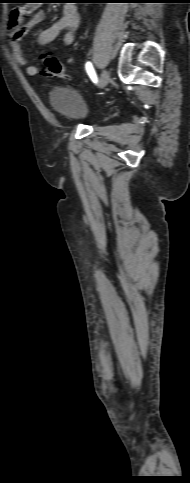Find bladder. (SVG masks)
I'll use <instances>...</instances> for the list:
<instances>
[{
    "label": "bladder",
    "mask_w": 190,
    "mask_h": 483,
    "mask_svg": "<svg viewBox=\"0 0 190 483\" xmlns=\"http://www.w3.org/2000/svg\"><path fill=\"white\" fill-rule=\"evenodd\" d=\"M48 99L54 111L67 119L82 120L88 115L86 101L71 88L57 87L49 94Z\"/></svg>",
    "instance_id": "obj_1"
}]
</instances>
